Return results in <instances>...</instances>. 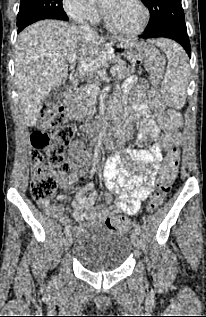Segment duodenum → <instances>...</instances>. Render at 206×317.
I'll list each match as a JSON object with an SVG mask.
<instances>
[{
	"instance_id": "obj_1",
	"label": "duodenum",
	"mask_w": 206,
	"mask_h": 317,
	"mask_svg": "<svg viewBox=\"0 0 206 317\" xmlns=\"http://www.w3.org/2000/svg\"><path fill=\"white\" fill-rule=\"evenodd\" d=\"M64 107L69 118L73 119L77 115L78 110L75 108L74 100H65ZM89 136L98 141L100 138H106L107 136H123L122 128L117 125L109 126L106 130H102L99 125H91L88 130Z\"/></svg>"
}]
</instances>
